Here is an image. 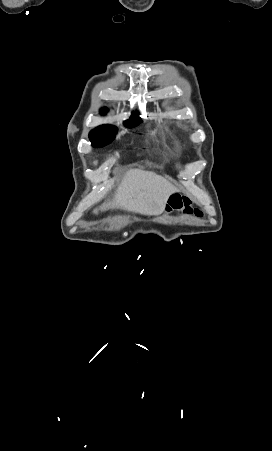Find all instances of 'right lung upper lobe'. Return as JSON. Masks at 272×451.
<instances>
[{"label":"right lung upper lobe","instance_id":"cb5924a9","mask_svg":"<svg viewBox=\"0 0 272 451\" xmlns=\"http://www.w3.org/2000/svg\"><path fill=\"white\" fill-rule=\"evenodd\" d=\"M105 111H106V109H105V108L101 109V113H104Z\"/></svg>","mask_w":272,"mask_h":451}]
</instances>
